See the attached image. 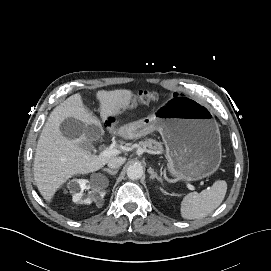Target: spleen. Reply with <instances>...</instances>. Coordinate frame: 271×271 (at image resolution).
Listing matches in <instances>:
<instances>
[{
	"label": "spleen",
	"mask_w": 271,
	"mask_h": 271,
	"mask_svg": "<svg viewBox=\"0 0 271 271\" xmlns=\"http://www.w3.org/2000/svg\"><path fill=\"white\" fill-rule=\"evenodd\" d=\"M226 192L227 183L224 180H218L200 193H188L181 202V216L188 220L206 217L220 206Z\"/></svg>",
	"instance_id": "1"
}]
</instances>
